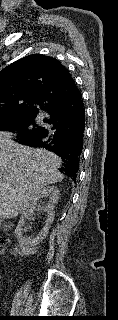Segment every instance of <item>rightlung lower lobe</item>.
Returning <instances> with one entry per match:
<instances>
[{"label":"right lung lower lobe","instance_id":"obj_1","mask_svg":"<svg viewBox=\"0 0 118 320\" xmlns=\"http://www.w3.org/2000/svg\"><path fill=\"white\" fill-rule=\"evenodd\" d=\"M85 108L81 93L48 112L46 126L30 136L16 141L30 147H42L57 154L63 164L61 172L76 180L83 149Z\"/></svg>","mask_w":118,"mask_h":320}]
</instances>
